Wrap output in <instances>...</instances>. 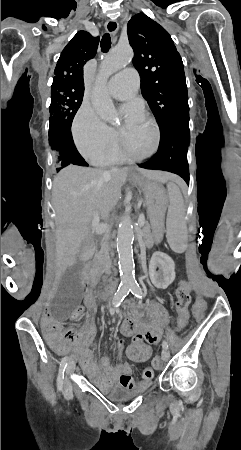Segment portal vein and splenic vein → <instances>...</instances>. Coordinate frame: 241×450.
I'll return each instance as SVG.
<instances>
[{
  "label": "portal vein and splenic vein",
  "mask_w": 241,
  "mask_h": 450,
  "mask_svg": "<svg viewBox=\"0 0 241 450\" xmlns=\"http://www.w3.org/2000/svg\"><path fill=\"white\" fill-rule=\"evenodd\" d=\"M146 223L147 222L145 220V217H140V221L137 222V225L144 226L146 225ZM92 230L93 232H96V234H105V236H109L111 232V226H109V224H99V222H93Z\"/></svg>",
  "instance_id": "portal-vein-and-splenic-vein-1"
}]
</instances>
